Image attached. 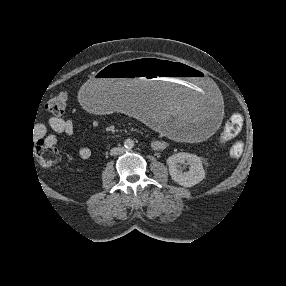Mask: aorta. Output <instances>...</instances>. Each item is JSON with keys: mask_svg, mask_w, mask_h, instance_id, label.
<instances>
[{"mask_svg": "<svg viewBox=\"0 0 286 286\" xmlns=\"http://www.w3.org/2000/svg\"><path fill=\"white\" fill-rule=\"evenodd\" d=\"M124 147L126 149H132L134 147V141L131 139H127L124 141Z\"/></svg>", "mask_w": 286, "mask_h": 286, "instance_id": "762f6f07", "label": "aorta"}]
</instances>
